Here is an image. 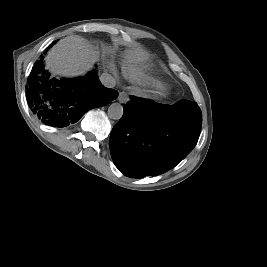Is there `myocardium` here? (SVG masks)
Wrapping results in <instances>:
<instances>
[{"instance_id": "obj_1", "label": "myocardium", "mask_w": 267, "mask_h": 267, "mask_svg": "<svg viewBox=\"0 0 267 267\" xmlns=\"http://www.w3.org/2000/svg\"><path fill=\"white\" fill-rule=\"evenodd\" d=\"M158 95H159V96H164V95H165V90H160V91H158Z\"/></svg>"}]
</instances>
